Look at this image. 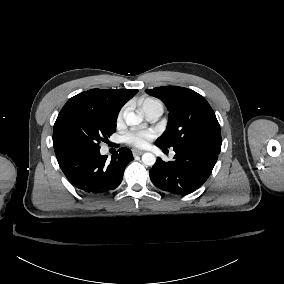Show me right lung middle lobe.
Returning <instances> with one entry per match:
<instances>
[{
	"label": "right lung middle lobe",
	"instance_id": "right-lung-middle-lobe-1",
	"mask_svg": "<svg viewBox=\"0 0 284 284\" xmlns=\"http://www.w3.org/2000/svg\"><path fill=\"white\" fill-rule=\"evenodd\" d=\"M116 121L93 104L68 101L54 124L53 145L62 154L99 149L116 131Z\"/></svg>",
	"mask_w": 284,
	"mask_h": 284
}]
</instances>
